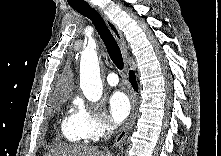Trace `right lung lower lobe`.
<instances>
[{
    "label": "right lung lower lobe",
    "instance_id": "obj_1",
    "mask_svg": "<svg viewBox=\"0 0 221 156\" xmlns=\"http://www.w3.org/2000/svg\"><path fill=\"white\" fill-rule=\"evenodd\" d=\"M129 78H130V81H131V84L134 88L135 91H137V82H136V77H135V74L133 71H130L129 72Z\"/></svg>",
    "mask_w": 221,
    "mask_h": 156
}]
</instances>
